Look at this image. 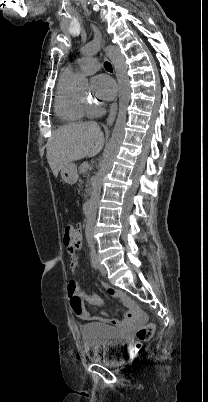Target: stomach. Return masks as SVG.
<instances>
[{
  "mask_svg": "<svg viewBox=\"0 0 208 402\" xmlns=\"http://www.w3.org/2000/svg\"><path fill=\"white\" fill-rule=\"evenodd\" d=\"M61 178L63 182H66V184H76L78 180V174H77V168L75 164H67V166H63L61 168Z\"/></svg>",
  "mask_w": 208,
  "mask_h": 402,
  "instance_id": "stomach-1",
  "label": "stomach"
}]
</instances>
